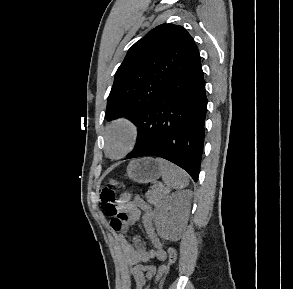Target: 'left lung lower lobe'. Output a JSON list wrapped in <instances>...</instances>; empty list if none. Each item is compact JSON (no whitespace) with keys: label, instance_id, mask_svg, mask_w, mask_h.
<instances>
[{"label":"left lung lower lobe","instance_id":"1","mask_svg":"<svg viewBox=\"0 0 293 289\" xmlns=\"http://www.w3.org/2000/svg\"><path fill=\"white\" fill-rule=\"evenodd\" d=\"M207 98L200 57L135 123L136 145L127 158L157 156L186 170L195 182L204 144Z\"/></svg>","mask_w":293,"mask_h":289}]
</instances>
